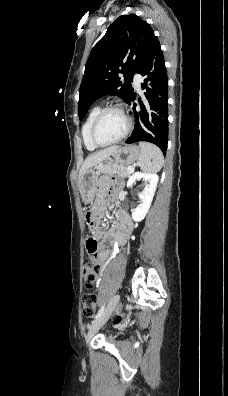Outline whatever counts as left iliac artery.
Here are the masks:
<instances>
[{
	"label": "left iliac artery",
	"mask_w": 228,
	"mask_h": 396,
	"mask_svg": "<svg viewBox=\"0 0 228 396\" xmlns=\"http://www.w3.org/2000/svg\"><path fill=\"white\" fill-rule=\"evenodd\" d=\"M104 310H105V304L100 308L95 319L99 318L103 314Z\"/></svg>",
	"instance_id": "44dca946"
}]
</instances>
